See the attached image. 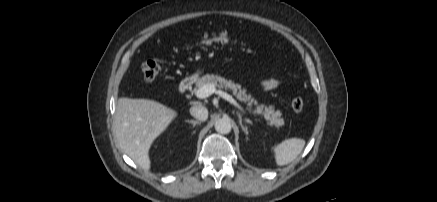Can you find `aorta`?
Returning a JSON list of instances; mask_svg holds the SVG:
<instances>
[{
	"mask_svg": "<svg viewBox=\"0 0 437 202\" xmlns=\"http://www.w3.org/2000/svg\"><path fill=\"white\" fill-rule=\"evenodd\" d=\"M231 123L228 119L222 118L215 122V130L221 134H228L231 131Z\"/></svg>",
	"mask_w": 437,
	"mask_h": 202,
	"instance_id": "762f6f07",
	"label": "aorta"
}]
</instances>
